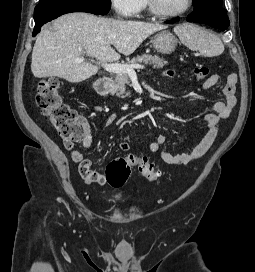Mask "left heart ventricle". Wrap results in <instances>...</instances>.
I'll return each instance as SVG.
<instances>
[{
  "mask_svg": "<svg viewBox=\"0 0 255 272\" xmlns=\"http://www.w3.org/2000/svg\"><path fill=\"white\" fill-rule=\"evenodd\" d=\"M160 10L168 13L182 10L187 5V0H156Z\"/></svg>",
  "mask_w": 255,
  "mask_h": 272,
  "instance_id": "left-heart-ventricle-1",
  "label": "left heart ventricle"
}]
</instances>
